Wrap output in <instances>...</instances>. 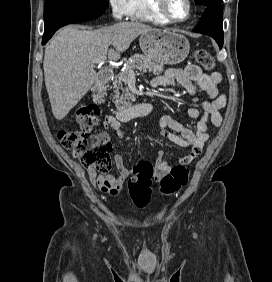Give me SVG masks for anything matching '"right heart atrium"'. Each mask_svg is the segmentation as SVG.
<instances>
[{
    "instance_id": "right-heart-atrium-1",
    "label": "right heart atrium",
    "mask_w": 272,
    "mask_h": 282,
    "mask_svg": "<svg viewBox=\"0 0 272 282\" xmlns=\"http://www.w3.org/2000/svg\"><path fill=\"white\" fill-rule=\"evenodd\" d=\"M111 16L120 21L131 17L134 13L133 0H107Z\"/></svg>"
}]
</instances>
